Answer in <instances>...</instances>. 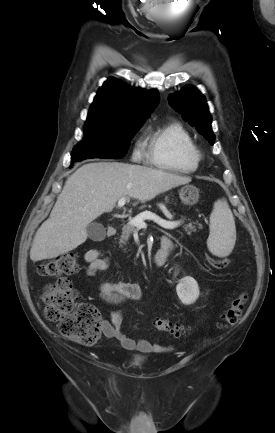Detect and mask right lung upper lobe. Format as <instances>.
Listing matches in <instances>:
<instances>
[{"instance_id":"cb5924a9","label":"right lung upper lobe","mask_w":275,"mask_h":433,"mask_svg":"<svg viewBox=\"0 0 275 433\" xmlns=\"http://www.w3.org/2000/svg\"><path fill=\"white\" fill-rule=\"evenodd\" d=\"M157 90L141 91L109 78L90 107L86 122L123 124L145 122L158 103Z\"/></svg>"}]
</instances>
